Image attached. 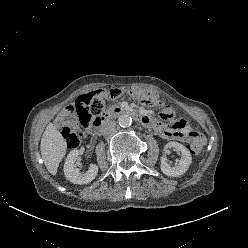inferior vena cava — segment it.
I'll use <instances>...</instances> for the list:
<instances>
[{
    "instance_id": "obj_1",
    "label": "inferior vena cava",
    "mask_w": 248,
    "mask_h": 248,
    "mask_svg": "<svg viewBox=\"0 0 248 248\" xmlns=\"http://www.w3.org/2000/svg\"><path fill=\"white\" fill-rule=\"evenodd\" d=\"M115 127H116L115 121H112V120L106 121L103 123L101 127V133L103 135H108L114 131Z\"/></svg>"
}]
</instances>
